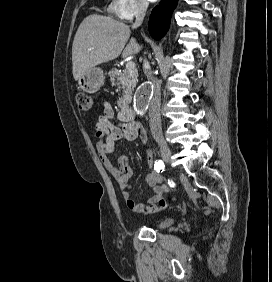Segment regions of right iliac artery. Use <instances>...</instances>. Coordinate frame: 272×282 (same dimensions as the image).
Returning a JSON list of instances; mask_svg holds the SVG:
<instances>
[{
    "mask_svg": "<svg viewBox=\"0 0 272 282\" xmlns=\"http://www.w3.org/2000/svg\"><path fill=\"white\" fill-rule=\"evenodd\" d=\"M164 163L161 161V160H158L157 162H155L154 164V169L157 171V172H162L164 171Z\"/></svg>",
    "mask_w": 272,
    "mask_h": 282,
    "instance_id": "right-iliac-artery-1",
    "label": "right iliac artery"
}]
</instances>
